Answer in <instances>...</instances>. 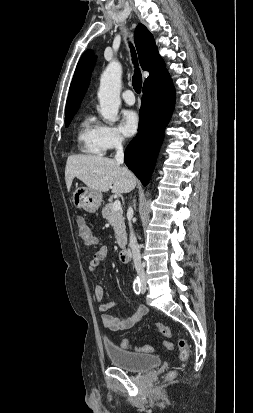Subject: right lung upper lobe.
<instances>
[{
    "mask_svg": "<svg viewBox=\"0 0 253 413\" xmlns=\"http://www.w3.org/2000/svg\"><path fill=\"white\" fill-rule=\"evenodd\" d=\"M134 41L141 67L143 70L149 71L150 73L144 84H147L166 73L165 64L158 53L153 35L144 25L138 24L136 27ZM92 63L93 52L86 51L77 64L70 85L66 102L65 117L75 114L78 110L89 84Z\"/></svg>",
    "mask_w": 253,
    "mask_h": 413,
    "instance_id": "1",
    "label": "right lung upper lobe"
}]
</instances>
